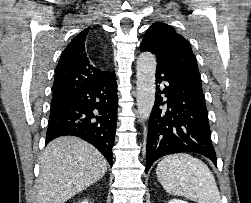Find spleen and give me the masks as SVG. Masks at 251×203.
Masks as SVG:
<instances>
[{"label": "spleen", "mask_w": 251, "mask_h": 203, "mask_svg": "<svg viewBox=\"0 0 251 203\" xmlns=\"http://www.w3.org/2000/svg\"><path fill=\"white\" fill-rule=\"evenodd\" d=\"M156 174L170 194L184 196L198 203H221L212 172L204 162L190 154L164 157L157 165Z\"/></svg>", "instance_id": "1"}]
</instances>
